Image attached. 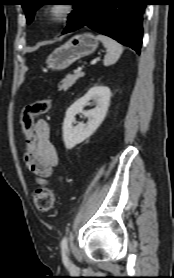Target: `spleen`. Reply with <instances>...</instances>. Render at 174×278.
<instances>
[{"label":"spleen","instance_id":"3e777b00","mask_svg":"<svg viewBox=\"0 0 174 278\" xmlns=\"http://www.w3.org/2000/svg\"><path fill=\"white\" fill-rule=\"evenodd\" d=\"M96 39L101 41L103 46L107 49L104 65L109 66L114 64L122 54L123 47L114 39L102 34L97 35Z\"/></svg>","mask_w":174,"mask_h":278}]
</instances>
